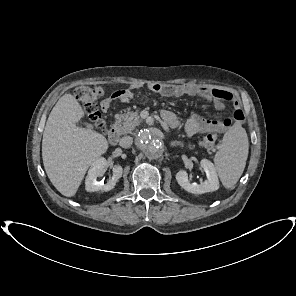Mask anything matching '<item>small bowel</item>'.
Masks as SVG:
<instances>
[{"instance_id": "c3829d8e", "label": "small bowel", "mask_w": 296, "mask_h": 296, "mask_svg": "<svg viewBox=\"0 0 296 296\" xmlns=\"http://www.w3.org/2000/svg\"><path fill=\"white\" fill-rule=\"evenodd\" d=\"M140 85H132L130 88L120 90L113 93L109 98L105 99L101 106L103 110H108L115 101L128 102L134 96V90L139 89ZM148 88L154 92H158L167 97L180 96H200L206 100L213 102L216 109L222 110L226 106V102L231 103L233 107V115L224 119H206L199 115L191 116L185 123L184 130L188 137L208 131L224 132L233 123H241L244 120V113L240 107L238 99L229 91L222 89L209 88L194 83H185L179 85H162L158 83L149 84ZM163 119L171 126L179 125L176 115L169 111L162 112Z\"/></svg>"}]
</instances>
